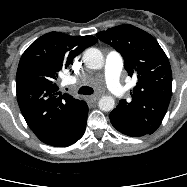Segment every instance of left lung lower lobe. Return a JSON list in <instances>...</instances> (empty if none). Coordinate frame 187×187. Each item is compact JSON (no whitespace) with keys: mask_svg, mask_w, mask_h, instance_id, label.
Masks as SVG:
<instances>
[{"mask_svg":"<svg viewBox=\"0 0 187 187\" xmlns=\"http://www.w3.org/2000/svg\"><path fill=\"white\" fill-rule=\"evenodd\" d=\"M110 121L116 130L127 136L140 137L149 134L114 111L110 113Z\"/></svg>","mask_w":187,"mask_h":187,"instance_id":"1","label":"left lung lower lobe"}]
</instances>
